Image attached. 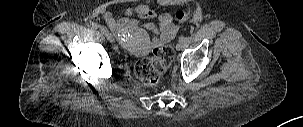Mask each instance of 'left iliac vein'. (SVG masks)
I'll return each instance as SVG.
<instances>
[{"instance_id": "4c4485c4", "label": "left iliac vein", "mask_w": 303, "mask_h": 127, "mask_svg": "<svg viewBox=\"0 0 303 127\" xmlns=\"http://www.w3.org/2000/svg\"><path fill=\"white\" fill-rule=\"evenodd\" d=\"M187 46H188V43L186 42L185 37L181 36V37L179 38L178 43H177V49H178V50H183V49H185Z\"/></svg>"}]
</instances>
